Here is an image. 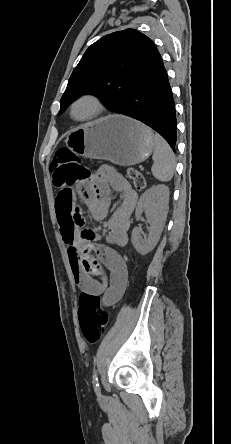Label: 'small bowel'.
Instances as JSON below:
<instances>
[{
  "instance_id": "obj_1",
  "label": "small bowel",
  "mask_w": 231,
  "mask_h": 444,
  "mask_svg": "<svg viewBox=\"0 0 231 444\" xmlns=\"http://www.w3.org/2000/svg\"><path fill=\"white\" fill-rule=\"evenodd\" d=\"M111 190L121 194V203L109 215ZM78 193L94 219L108 217V242L114 246H125L128 242L130 216L137 202V194L128 181L113 167L105 165L98 168L89 180L81 183ZM56 213L76 284L83 292L101 296L105 305L116 303L128 283L126 261L115 248L95 244L94 234L86 235L82 232L78 226L81 216L76 205V194L70 187L61 186L56 200Z\"/></svg>"
}]
</instances>
